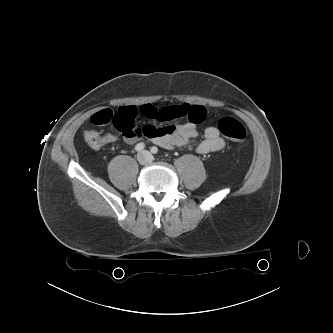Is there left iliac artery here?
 <instances>
[{
	"label": "left iliac artery",
	"instance_id": "obj_1",
	"mask_svg": "<svg viewBox=\"0 0 333 333\" xmlns=\"http://www.w3.org/2000/svg\"><path fill=\"white\" fill-rule=\"evenodd\" d=\"M151 152H152L153 154H157V153H158V148H157L156 146H153V147L151 148Z\"/></svg>",
	"mask_w": 333,
	"mask_h": 333
}]
</instances>
